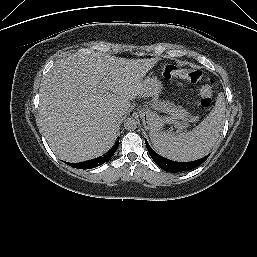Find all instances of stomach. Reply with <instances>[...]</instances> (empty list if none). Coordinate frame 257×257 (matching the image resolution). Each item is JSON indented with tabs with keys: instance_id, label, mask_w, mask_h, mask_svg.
<instances>
[{
	"instance_id": "stomach-1",
	"label": "stomach",
	"mask_w": 257,
	"mask_h": 257,
	"mask_svg": "<svg viewBox=\"0 0 257 257\" xmlns=\"http://www.w3.org/2000/svg\"><path fill=\"white\" fill-rule=\"evenodd\" d=\"M163 89V83L157 77H148L143 81L144 96H156L160 94ZM142 117L147 121L152 130L161 128L165 123L164 119H161L148 111H144Z\"/></svg>"
}]
</instances>
